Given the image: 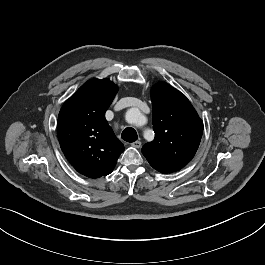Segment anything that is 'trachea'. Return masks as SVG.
<instances>
[{"label": "trachea", "instance_id": "3493384b", "mask_svg": "<svg viewBox=\"0 0 265 265\" xmlns=\"http://www.w3.org/2000/svg\"><path fill=\"white\" fill-rule=\"evenodd\" d=\"M121 138L126 142H135L138 139L137 133L133 128H126L121 135Z\"/></svg>", "mask_w": 265, "mask_h": 265}]
</instances>
